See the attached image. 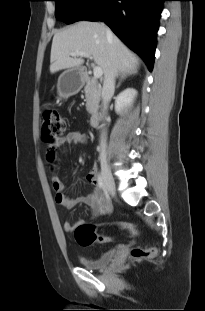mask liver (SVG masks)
<instances>
[{
    "instance_id": "liver-1",
    "label": "liver",
    "mask_w": 205,
    "mask_h": 311,
    "mask_svg": "<svg viewBox=\"0 0 205 311\" xmlns=\"http://www.w3.org/2000/svg\"><path fill=\"white\" fill-rule=\"evenodd\" d=\"M107 28L102 23L80 21L57 32L52 41L50 72L63 69H80L82 58L71 57L72 52L90 55L102 69L104 76L109 71L111 56H114L117 71L126 72L137 69L133 54L118 37H107Z\"/></svg>"
}]
</instances>
